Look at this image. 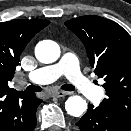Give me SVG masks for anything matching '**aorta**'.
I'll return each instance as SVG.
<instances>
[{
	"mask_svg": "<svg viewBox=\"0 0 131 131\" xmlns=\"http://www.w3.org/2000/svg\"><path fill=\"white\" fill-rule=\"evenodd\" d=\"M35 56L42 63H53L60 56L59 45L51 40L41 41L35 48ZM65 109L69 115L79 117L87 109V103L80 96H71L65 102Z\"/></svg>",
	"mask_w": 131,
	"mask_h": 131,
	"instance_id": "obj_1",
	"label": "aorta"
}]
</instances>
